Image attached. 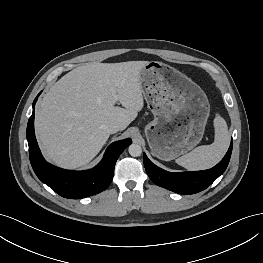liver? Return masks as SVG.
I'll return each instance as SVG.
<instances>
[{"instance_id":"1","label":"liver","mask_w":263,"mask_h":263,"mask_svg":"<svg viewBox=\"0 0 263 263\" xmlns=\"http://www.w3.org/2000/svg\"><path fill=\"white\" fill-rule=\"evenodd\" d=\"M145 64L90 63L58 80L36 110L35 130L45 156L69 169L89 163L109 138L105 126L117 122L124 130L142 110L140 71Z\"/></svg>"}]
</instances>
